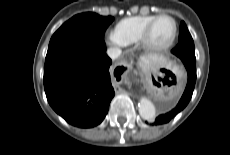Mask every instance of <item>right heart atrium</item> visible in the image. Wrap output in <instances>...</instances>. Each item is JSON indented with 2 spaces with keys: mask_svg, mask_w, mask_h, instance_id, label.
I'll return each mask as SVG.
<instances>
[{
  "mask_svg": "<svg viewBox=\"0 0 230 155\" xmlns=\"http://www.w3.org/2000/svg\"><path fill=\"white\" fill-rule=\"evenodd\" d=\"M106 42L116 48H122L126 46V44L118 37L114 31L106 34Z\"/></svg>",
  "mask_w": 230,
  "mask_h": 155,
  "instance_id": "obj_1",
  "label": "right heart atrium"
}]
</instances>
